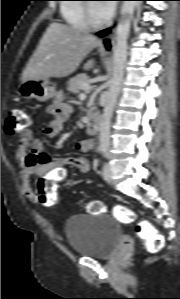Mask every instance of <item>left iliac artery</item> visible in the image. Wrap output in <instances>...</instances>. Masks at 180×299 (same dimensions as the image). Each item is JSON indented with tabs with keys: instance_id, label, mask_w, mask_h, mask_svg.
<instances>
[{
	"instance_id": "left-iliac-artery-1",
	"label": "left iliac artery",
	"mask_w": 180,
	"mask_h": 299,
	"mask_svg": "<svg viewBox=\"0 0 180 299\" xmlns=\"http://www.w3.org/2000/svg\"><path fill=\"white\" fill-rule=\"evenodd\" d=\"M105 154H106V157H108V154H109V153H108V151H107V150L105 151Z\"/></svg>"
}]
</instances>
